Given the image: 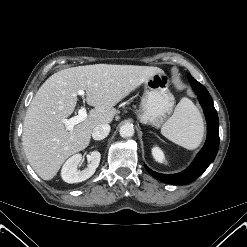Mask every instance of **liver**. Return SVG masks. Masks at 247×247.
I'll return each instance as SVG.
<instances>
[{
	"instance_id": "liver-1",
	"label": "liver",
	"mask_w": 247,
	"mask_h": 247,
	"mask_svg": "<svg viewBox=\"0 0 247 247\" xmlns=\"http://www.w3.org/2000/svg\"><path fill=\"white\" fill-rule=\"evenodd\" d=\"M160 72L149 66L95 64L50 76L32 99L23 123V149L37 175L51 180L68 157L89 145L97 125L112 122L118 102ZM78 90L86 91V102L94 108L68 131L61 120L73 113Z\"/></svg>"
}]
</instances>
